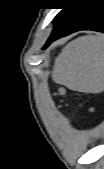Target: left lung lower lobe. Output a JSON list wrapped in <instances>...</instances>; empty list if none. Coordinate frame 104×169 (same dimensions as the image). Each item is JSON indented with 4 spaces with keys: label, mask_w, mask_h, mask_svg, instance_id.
Segmentation results:
<instances>
[{
    "label": "left lung lower lobe",
    "mask_w": 104,
    "mask_h": 169,
    "mask_svg": "<svg viewBox=\"0 0 104 169\" xmlns=\"http://www.w3.org/2000/svg\"><path fill=\"white\" fill-rule=\"evenodd\" d=\"M80 30H94L104 33V9L89 0L78 2L56 27L44 48L60 37Z\"/></svg>",
    "instance_id": "obj_1"
}]
</instances>
